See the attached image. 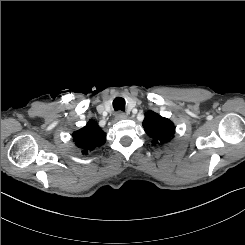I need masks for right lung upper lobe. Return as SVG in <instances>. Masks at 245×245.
<instances>
[{"label": "right lung upper lobe", "instance_id": "obj_1", "mask_svg": "<svg viewBox=\"0 0 245 245\" xmlns=\"http://www.w3.org/2000/svg\"><path fill=\"white\" fill-rule=\"evenodd\" d=\"M72 136L75 145L82 149L84 155L96 147H100L106 141V133L93 120H90L82 129L74 132Z\"/></svg>", "mask_w": 245, "mask_h": 245}]
</instances>
